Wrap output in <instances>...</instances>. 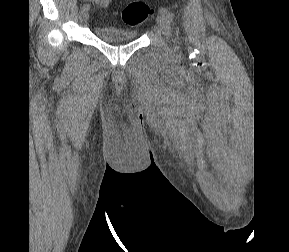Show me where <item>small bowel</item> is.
<instances>
[{
	"instance_id": "small-bowel-1",
	"label": "small bowel",
	"mask_w": 289,
	"mask_h": 252,
	"mask_svg": "<svg viewBox=\"0 0 289 252\" xmlns=\"http://www.w3.org/2000/svg\"><path fill=\"white\" fill-rule=\"evenodd\" d=\"M85 1L99 5L102 8H107L114 0H85Z\"/></svg>"
}]
</instances>
